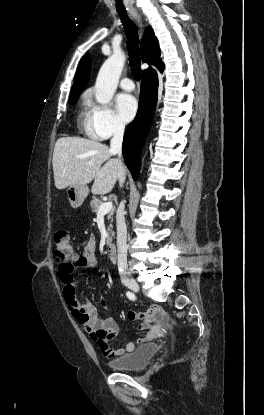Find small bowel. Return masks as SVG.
Here are the masks:
<instances>
[{
    "label": "small bowel",
    "instance_id": "obj_1",
    "mask_svg": "<svg viewBox=\"0 0 264 415\" xmlns=\"http://www.w3.org/2000/svg\"><path fill=\"white\" fill-rule=\"evenodd\" d=\"M74 268H89L97 270L96 247L94 239H90L85 245L81 257L68 264V268H58L59 278L64 286V297L71 311L72 316L82 326L84 331L99 345L105 356H123L134 350L135 344H145L159 336L162 324L167 320V315L158 307H152L146 312L129 311L127 320L134 322L140 319L149 318L152 324L143 322L138 326L140 331H147L144 337L137 338L134 342L129 341L124 348L112 349L110 341L116 337L130 338L127 334L120 333L117 324L112 318H102L95 311L94 306L88 300L77 301L74 296L72 301L66 299V291L69 288L75 289L77 283L72 276ZM99 303L103 309L108 310L109 304L104 297H99Z\"/></svg>",
    "mask_w": 264,
    "mask_h": 415
}]
</instances>
